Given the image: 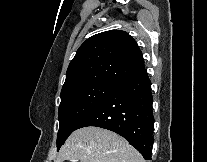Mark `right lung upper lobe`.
I'll return each mask as SVG.
<instances>
[{
    "label": "right lung upper lobe",
    "mask_w": 207,
    "mask_h": 162,
    "mask_svg": "<svg viewBox=\"0 0 207 162\" xmlns=\"http://www.w3.org/2000/svg\"><path fill=\"white\" fill-rule=\"evenodd\" d=\"M144 69L142 53L126 32L111 30L87 39L69 64L61 93L83 86H116Z\"/></svg>",
    "instance_id": "cb5924a9"
}]
</instances>
